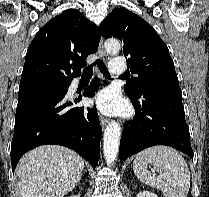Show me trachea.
<instances>
[{
	"label": "trachea",
	"mask_w": 209,
	"mask_h": 197,
	"mask_svg": "<svg viewBox=\"0 0 209 197\" xmlns=\"http://www.w3.org/2000/svg\"><path fill=\"white\" fill-rule=\"evenodd\" d=\"M97 65L99 70L102 72V74L106 77H110V73L104 64V62L100 59H97L93 64L87 66L86 68L83 69V77H90L93 74V66ZM125 75H122L121 77H124Z\"/></svg>",
	"instance_id": "3493384b"
}]
</instances>
